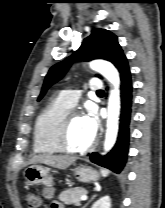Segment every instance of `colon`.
<instances>
[{"mask_svg":"<svg viewBox=\"0 0 165 208\" xmlns=\"http://www.w3.org/2000/svg\"><path fill=\"white\" fill-rule=\"evenodd\" d=\"M26 201L29 208H39L40 206V198L36 194H28L26 197Z\"/></svg>","mask_w":165,"mask_h":208,"instance_id":"obj_1","label":"colon"}]
</instances>
